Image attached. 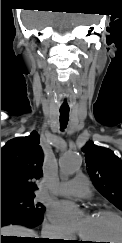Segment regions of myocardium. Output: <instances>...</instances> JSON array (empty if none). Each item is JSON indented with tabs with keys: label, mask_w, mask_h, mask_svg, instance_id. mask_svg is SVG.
<instances>
[{
	"label": "myocardium",
	"mask_w": 122,
	"mask_h": 243,
	"mask_svg": "<svg viewBox=\"0 0 122 243\" xmlns=\"http://www.w3.org/2000/svg\"><path fill=\"white\" fill-rule=\"evenodd\" d=\"M93 215L112 216V217H115L116 219H118L120 221V223L122 224V215L119 214L118 212L110 210V209H98L93 213ZM121 243H122V241H121Z\"/></svg>",
	"instance_id": "myocardium-1"
}]
</instances>
